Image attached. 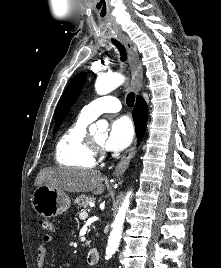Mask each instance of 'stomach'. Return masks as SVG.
I'll use <instances>...</instances> for the list:
<instances>
[{
    "label": "stomach",
    "instance_id": "stomach-1",
    "mask_svg": "<svg viewBox=\"0 0 221 268\" xmlns=\"http://www.w3.org/2000/svg\"><path fill=\"white\" fill-rule=\"evenodd\" d=\"M70 203V198L64 191L48 185L38 186L32 195L34 210L45 218L56 217L66 212Z\"/></svg>",
    "mask_w": 221,
    "mask_h": 268
}]
</instances>
